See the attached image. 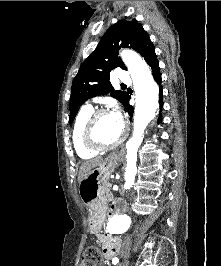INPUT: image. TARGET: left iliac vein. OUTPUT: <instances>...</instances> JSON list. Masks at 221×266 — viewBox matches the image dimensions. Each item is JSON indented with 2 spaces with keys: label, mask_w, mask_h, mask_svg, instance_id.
Listing matches in <instances>:
<instances>
[{
  "label": "left iliac vein",
  "mask_w": 221,
  "mask_h": 266,
  "mask_svg": "<svg viewBox=\"0 0 221 266\" xmlns=\"http://www.w3.org/2000/svg\"><path fill=\"white\" fill-rule=\"evenodd\" d=\"M119 266H129V261L125 260Z\"/></svg>",
  "instance_id": "left-iliac-vein-1"
}]
</instances>
